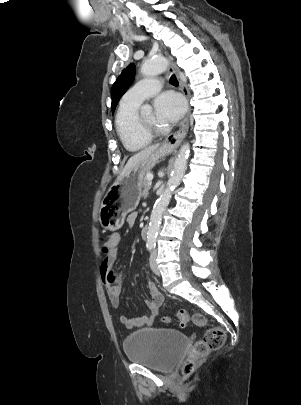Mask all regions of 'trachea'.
<instances>
[{
	"label": "trachea",
	"instance_id": "trachea-1",
	"mask_svg": "<svg viewBox=\"0 0 301 405\" xmlns=\"http://www.w3.org/2000/svg\"><path fill=\"white\" fill-rule=\"evenodd\" d=\"M170 83H171L173 86H178V80H177V78H176L175 75H172V76H171V78H170Z\"/></svg>",
	"mask_w": 301,
	"mask_h": 405
}]
</instances>
